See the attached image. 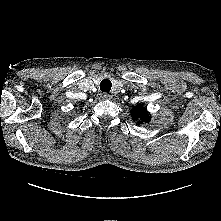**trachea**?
<instances>
[{"label": "trachea", "instance_id": "trachea-1", "mask_svg": "<svg viewBox=\"0 0 221 221\" xmlns=\"http://www.w3.org/2000/svg\"><path fill=\"white\" fill-rule=\"evenodd\" d=\"M111 87H112V83L110 80L105 79V80L101 81V83H100V90L102 92L108 93L111 90Z\"/></svg>", "mask_w": 221, "mask_h": 221}]
</instances>
